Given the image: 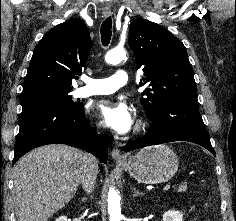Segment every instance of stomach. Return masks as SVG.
Here are the masks:
<instances>
[{
  "label": "stomach",
  "instance_id": "0dacf381",
  "mask_svg": "<svg viewBox=\"0 0 236 221\" xmlns=\"http://www.w3.org/2000/svg\"><path fill=\"white\" fill-rule=\"evenodd\" d=\"M121 166L139 183L159 184L175 175L178 159L168 146L154 145L141 149Z\"/></svg>",
  "mask_w": 236,
  "mask_h": 221
}]
</instances>
